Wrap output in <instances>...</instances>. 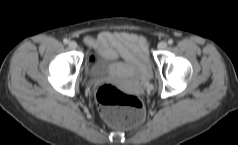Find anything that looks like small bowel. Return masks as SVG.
Instances as JSON below:
<instances>
[{"instance_id":"c3829d8e","label":"small bowel","mask_w":238,"mask_h":145,"mask_svg":"<svg viewBox=\"0 0 238 145\" xmlns=\"http://www.w3.org/2000/svg\"><path fill=\"white\" fill-rule=\"evenodd\" d=\"M86 43L109 60H117L121 57L134 65L141 73L146 75L149 71L148 44L141 35L104 31L96 37H87Z\"/></svg>"}]
</instances>
